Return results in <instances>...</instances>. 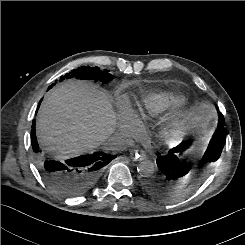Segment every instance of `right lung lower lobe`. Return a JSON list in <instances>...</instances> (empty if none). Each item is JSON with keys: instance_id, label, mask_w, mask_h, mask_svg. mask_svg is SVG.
Wrapping results in <instances>:
<instances>
[{"instance_id": "1", "label": "right lung lower lobe", "mask_w": 245, "mask_h": 245, "mask_svg": "<svg viewBox=\"0 0 245 245\" xmlns=\"http://www.w3.org/2000/svg\"><path fill=\"white\" fill-rule=\"evenodd\" d=\"M31 144L41 175L55 192L65 197H77L88 192L97 183L103 167L116 158V155L102 152L65 161L45 158L38 146L35 123L31 130Z\"/></svg>"}]
</instances>
